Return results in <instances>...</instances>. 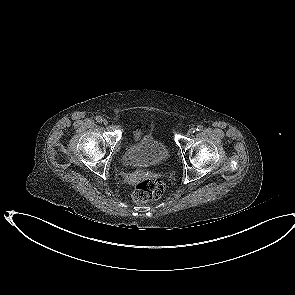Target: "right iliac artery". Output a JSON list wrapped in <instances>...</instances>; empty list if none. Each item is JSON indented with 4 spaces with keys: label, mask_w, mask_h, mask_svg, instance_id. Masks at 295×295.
I'll return each instance as SVG.
<instances>
[{
    "label": "right iliac artery",
    "mask_w": 295,
    "mask_h": 295,
    "mask_svg": "<svg viewBox=\"0 0 295 295\" xmlns=\"http://www.w3.org/2000/svg\"><path fill=\"white\" fill-rule=\"evenodd\" d=\"M96 121L99 122V123L102 122V117L101 116H97L96 117Z\"/></svg>",
    "instance_id": "obj_1"
}]
</instances>
